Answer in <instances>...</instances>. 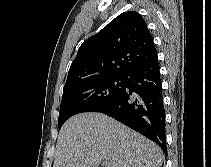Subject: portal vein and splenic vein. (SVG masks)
I'll list each match as a JSON object with an SVG mask.
<instances>
[{"label":"portal vein and splenic vein","instance_id":"1","mask_svg":"<svg viewBox=\"0 0 211 167\" xmlns=\"http://www.w3.org/2000/svg\"><path fill=\"white\" fill-rule=\"evenodd\" d=\"M103 165H104L105 167H110L108 161H104V162H103Z\"/></svg>","mask_w":211,"mask_h":167}]
</instances>
